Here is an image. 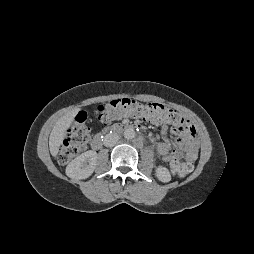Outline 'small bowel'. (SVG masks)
<instances>
[{
	"mask_svg": "<svg viewBox=\"0 0 254 254\" xmlns=\"http://www.w3.org/2000/svg\"><path fill=\"white\" fill-rule=\"evenodd\" d=\"M178 117L179 122L173 124L156 122L162 126L163 135L162 141L159 142L157 149L164 161L170 162L185 156L188 161L193 162L197 159L198 155L195 127L185 117L179 114ZM182 120L184 122H181ZM169 125L171 126L169 127ZM168 132L178 136V149H170L167 137Z\"/></svg>",
	"mask_w": 254,
	"mask_h": 254,
	"instance_id": "obj_1",
	"label": "small bowel"
}]
</instances>
